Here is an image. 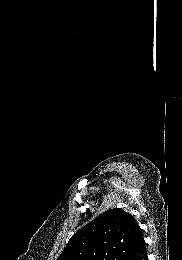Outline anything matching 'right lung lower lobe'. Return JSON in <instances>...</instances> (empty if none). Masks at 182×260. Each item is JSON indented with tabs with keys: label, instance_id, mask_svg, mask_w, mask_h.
<instances>
[{
	"label": "right lung lower lobe",
	"instance_id": "right-lung-lower-lobe-1",
	"mask_svg": "<svg viewBox=\"0 0 182 260\" xmlns=\"http://www.w3.org/2000/svg\"><path fill=\"white\" fill-rule=\"evenodd\" d=\"M128 260H148L146 244L137 252H135Z\"/></svg>",
	"mask_w": 182,
	"mask_h": 260
}]
</instances>
